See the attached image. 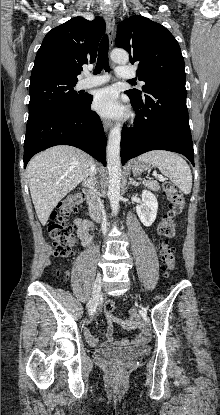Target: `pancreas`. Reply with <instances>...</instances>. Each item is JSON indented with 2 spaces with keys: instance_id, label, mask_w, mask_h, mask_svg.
<instances>
[{
  "instance_id": "1",
  "label": "pancreas",
  "mask_w": 220,
  "mask_h": 415,
  "mask_svg": "<svg viewBox=\"0 0 220 415\" xmlns=\"http://www.w3.org/2000/svg\"><path fill=\"white\" fill-rule=\"evenodd\" d=\"M143 184L153 191H158L160 189L159 183L155 180H144Z\"/></svg>"
}]
</instances>
